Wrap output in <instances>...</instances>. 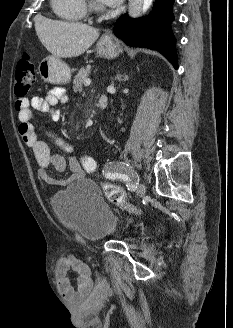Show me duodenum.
<instances>
[{"label":"duodenum","mask_w":233,"mask_h":328,"mask_svg":"<svg viewBox=\"0 0 233 328\" xmlns=\"http://www.w3.org/2000/svg\"><path fill=\"white\" fill-rule=\"evenodd\" d=\"M107 104H108V98H107V96L101 95L98 98V101H97L98 108L99 109H105L107 107Z\"/></svg>","instance_id":"duodenum-1"}]
</instances>
